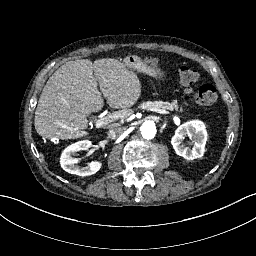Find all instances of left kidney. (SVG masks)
<instances>
[{
    "mask_svg": "<svg viewBox=\"0 0 256 256\" xmlns=\"http://www.w3.org/2000/svg\"><path fill=\"white\" fill-rule=\"evenodd\" d=\"M189 137L193 147H185L182 141ZM207 141V132L201 121H191L182 124L171 138V144L175 152L186 160H193L203 156Z\"/></svg>",
    "mask_w": 256,
    "mask_h": 256,
    "instance_id": "1",
    "label": "left kidney"
}]
</instances>
